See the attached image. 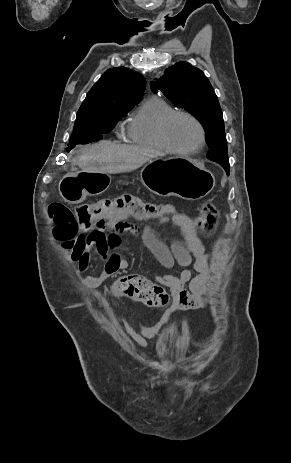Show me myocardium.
I'll use <instances>...</instances> for the list:
<instances>
[{
	"mask_svg": "<svg viewBox=\"0 0 291 463\" xmlns=\"http://www.w3.org/2000/svg\"><path fill=\"white\" fill-rule=\"evenodd\" d=\"M177 117H186L190 119L191 121H193L198 127L199 132H200V138L196 146L189 148V149H181V148L174 146L171 143L168 137V128L171 122ZM159 137H160L162 144L164 145L166 150H168L169 152L174 153V154H179V155H190V154L199 152L204 147L205 142H206V130L202 122L197 117H195L193 114L184 112V111H174L170 113L169 115H167L162 120L159 126Z\"/></svg>",
	"mask_w": 291,
	"mask_h": 463,
	"instance_id": "obj_1",
	"label": "myocardium"
}]
</instances>
